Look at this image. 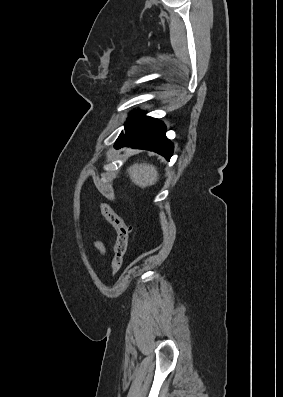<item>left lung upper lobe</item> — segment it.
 Wrapping results in <instances>:
<instances>
[{"label":"left lung upper lobe","instance_id":"5c2ea615","mask_svg":"<svg viewBox=\"0 0 283 397\" xmlns=\"http://www.w3.org/2000/svg\"><path fill=\"white\" fill-rule=\"evenodd\" d=\"M144 115V112L142 111H136L134 114H131L125 123V131L130 128L139 118H141ZM123 132H121L120 135H122Z\"/></svg>","mask_w":283,"mask_h":397}]
</instances>
